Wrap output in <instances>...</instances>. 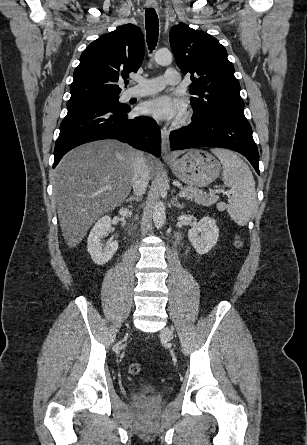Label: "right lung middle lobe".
<instances>
[{"mask_svg": "<svg viewBox=\"0 0 307 445\" xmlns=\"http://www.w3.org/2000/svg\"><path fill=\"white\" fill-rule=\"evenodd\" d=\"M118 100H119V95L93 96V97L69 100V102L67 103V107L71 108L78 105L95 104V103H111V104H116L118 106L126 107V105L120 104Z\"/></svg>", "mask_w": 307, "mask_h": 445, "instance_id": "1", "label": "right lung middle lobe"}]
</instances>
